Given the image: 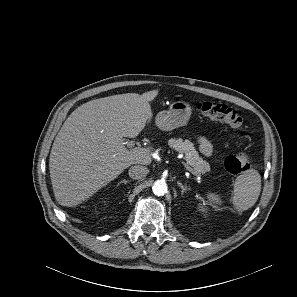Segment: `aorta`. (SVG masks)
Masks as SVG:
<instances>
[{
	"label": "aorta",
	"mask_w": 297,
	"mask_h": 297,
	"mask_svg": "<svg viewBox=\"0 0 297 297\" xmlns=\"http://www.w3.org/2000/svg\"><path fill=\"white\" fill-rule=\"evenodd\" d=\"M153 193L157 196H163L167 192V184L163 180H157L152 187Z\"/></svg>",
	"instance_id": "obj_1"
}]
</instances>
